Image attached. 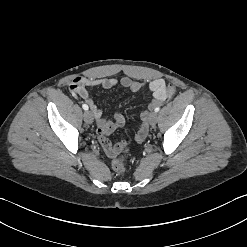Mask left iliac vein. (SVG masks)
Masks as SVG:
<instances>
[{
    "mask_svg": "<svg viewBox=\"0 0 247 247\" xmlns=\"http://www.w3.org/2000/svg\"><path fill=\"white\" fill-rule=\"evenodd\" d=\"M149 124L154 126L157 122V113L151 112L148 117Z\"/></svg>",
    "mask_w": 247,
    "mask_h": 247,
    "instance_id": "obj_1",
    "label": "left iliac vein"
}]
</instances>
